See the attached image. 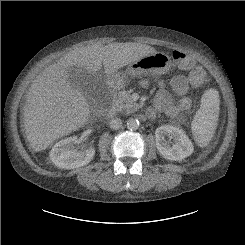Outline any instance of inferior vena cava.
<instances>
[{
	"label": "inferior vena cava",
	"mask_w": 245,
	"mask_h": 245,
	"mask_svg": "<svg viewBox=\"0 0 245 245\" xmlns=\"http://www.w3.org/2000/svg\"><path fill=\"white\" fill-rule=\"evenodd\" d=\"M109 126L111 129H119L122 126V120L120 118H113L110 123Z\"/></svg>",
	"instance_id": "inferior-vena-cava-1"
}]
</instances>
